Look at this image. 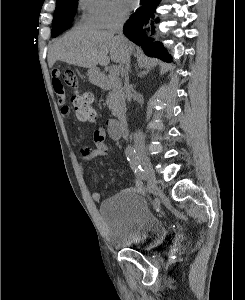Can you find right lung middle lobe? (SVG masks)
<instances>
[{
	"mask_svg": "<svg viewBox=\"0 0 245 300\" xmlns=\"http://www.w3.org/2000/svg\"><path fill=\"white\" fill-rule=\"evenodd\" d=\"M78 0H57L56 9L52 21V37H56L62 33L76 13Z\"/></svg>",
	"mask_w": 245,
	"mask_h": 300,
	"instance_id": "right-lung-middle-lobe-1",
	"label": "right lung middle lobe"
}]
</instances>
